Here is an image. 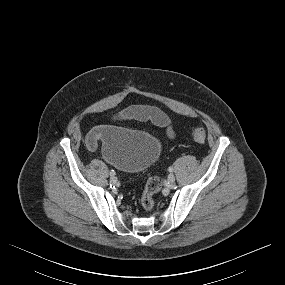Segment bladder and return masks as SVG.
I'll use <instances>...</instances> for the list:
<instances>
[{"label":"bladder","mask_w":285,"mask_h":285,"mask_svg":"<svg viewBox=\"0 0 285 285\" xmlns=\"http://www.w3.org/2000/svg\"><path fill=\"white\" fill-rule=\"evenodd\" d=\"M161 148L160 141L148 132L115 125L104 126L103 156L125 172L143 171L157 160Z\"/></svg>","instance_id":"obj_1"}]
</instances>
